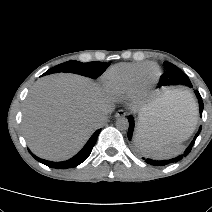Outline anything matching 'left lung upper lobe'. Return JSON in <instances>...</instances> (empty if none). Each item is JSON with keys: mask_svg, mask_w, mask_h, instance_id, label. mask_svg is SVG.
I'll return each instance as SVG.
<instances>
[{"mask_svg": "<svg viewBox=\"0 0 212 212\" xmlns=\"http://www.w3.org/2000/svg\"><path fill=\"white\" fill-rule=\"evenodd\" d=\"M166 72L161 76L159 86L186 85L192 86L188 76L177 66L169 62H164Z\"/></svg>", "mask_w": 212, "mask_h": 212, "instance_id": "obj_1", "label": "left lung upper lobe"}]
</instances>
